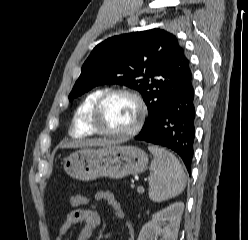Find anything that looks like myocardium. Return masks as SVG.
<instances>
[{"label": "myocardium", "mask_w": 248, "mask_h": 240, "mask_svg": "<svg viewBox=\"0 0 248 240\" xmlns=\"http://www.w3.org/2000/svg\"><path fill=\"white\" fill-rule=\"evenodd\" d=\"M114 95H126L132 98L138 107V117L133 127L125 132H112L100 127V114L106 101ZM147 115V107L142 96L129 88H113L104 91L96 100L90 116V124L95 133L110 138H128L135 136L143 127Z\"/></svg>", "instance_id": "1"}]
</instances>
